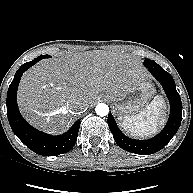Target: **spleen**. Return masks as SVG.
Here are the masks:
<instances>
[{
	"instance_id": "spleen-1",
	"label": "spleen",
	"mask_w": 193,
	"mask_h": 193,
	"mask_svg": "<svg viewBox=\"0 0 193 193\" xmlns=\"http://www.w3.org/2000/svg\"><path fill=\"white\" fill-rule=\"evenodd\" d=\"M163 105V100L156 96L138 114L125 116L122 124L123 129L132 137H150L158 131V126L164 123Z\"/></svg>"
}]
</instances>
